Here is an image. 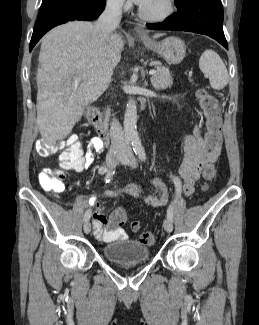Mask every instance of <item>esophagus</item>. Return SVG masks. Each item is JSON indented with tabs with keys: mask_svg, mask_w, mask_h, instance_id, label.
I'll list each match as a JSON object with an SVG mask.
<instances>
[{
	"mask_svg": "<svg viewBox=\"0 0 259 325\" xmlns=\"http://www.w3.org/2000/svg\"><path fill=\"white\" fill-rule=\"evenodd\" d=\"M136 32L143 38H147L148 34L141 27H136Z\"/></svg>",
	"mask_w": 259,
	"mask_h": 325,
	"instance_id": "obj_1",
	"label": "esophagus"
}]
</instances>
